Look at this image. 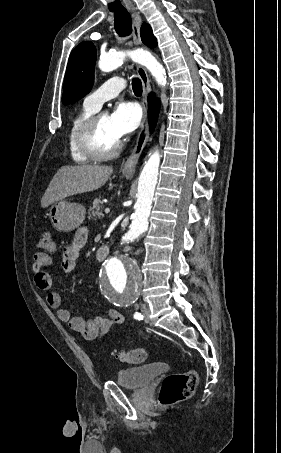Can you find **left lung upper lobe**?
I'll list each match as a JSON object with an SVG mask.
<instances>
[{
  "instance_id": "5c2ea615",
  "label": "left lung upper lobe",
  "mask_w": 281,
  "mask_h": 453,
  "mask_svg": "<svg viewBox=\"0 0 281 453\" xmlns=\"http://www.w3.org/2000/svg\"><path fill=\"white\" fill-rule=\"evenodd\" d=\"M96 48L92 42L80 43L70 54L67 65L62 103L69 105L88 94L94 82Z\"/></svg>"
}]
</instances>
